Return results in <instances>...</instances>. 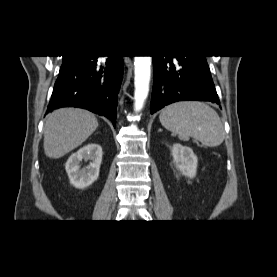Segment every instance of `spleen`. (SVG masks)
Returning <instances> with one entry per match:
<instances>
[{
    "mask_svg": "<svg viewBox=\"0 0 277 277\" xmlns=\"http://www.w3.org/2000/svg\"><path fill=\"white\" fill-rule=\"evenodd\" d=\"M162 126L181 140L189 137L203 145L215 147L225 137L220 117L214 109L202 102H177L165 107L159 116Z\"/></svg>",
    "mask_w": 277,
    "mask_h": 277,
    "instance_id": "obj_1",
    "label": "spleen"
}]
</instances>
